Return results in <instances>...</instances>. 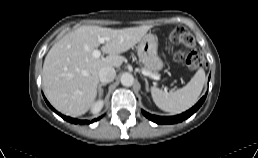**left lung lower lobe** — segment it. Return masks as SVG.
<instances>
[{
  "label": "left lung lower lobe",
  "instance_id": "0a47b994",
  "mask_svg": "<svg viewBox=\"0 0 258 158\" xmlns=\"http://www.w3.org/2000/svg\"><path fill=\"white\" fill-rule=\"evenodd\" d=\"M205 98H206V95L203 96L199 100V102L195 106H193L191 109H189L188 111H186L180 115H176V116H166V117L165 116H156V115H151L143 110H142V113L148 119H150L151 121H153L157 124H174V123L181 122V121L189 118L190 116H192L203 104Z\"/></svg>",
  "mask_w": 258,
  "mask_h": 158
}]
</instances>
